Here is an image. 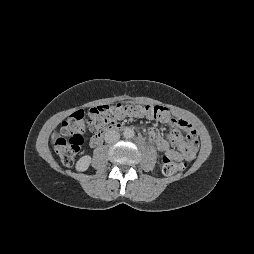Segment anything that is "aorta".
<instances>
[{
  "instance_id": "762f6f07",
  "label": "aorta",
  "mask_w": 254,
  "mask_h": 254,
  "mask_svg": "<svg viewBox=\"0 0 254 254\" xmlns=\"http://www.w3.org/2000/svg\"><path fill=\"white\" fill-rule=\"evenodd\" d=\"M123 135L125 138L130 139L134 137L135 132L132 128H125L123 131Z\"/></svg>"
}]
</instances>
